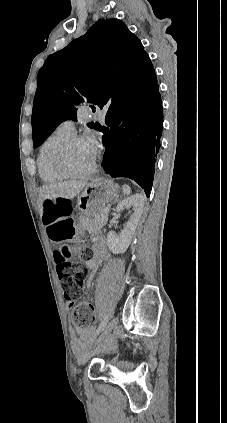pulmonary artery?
<instances>
[{"label": "pulmonary artery", "mask_w": 227, "mask_h": 423, "mask_svg": "<svg viewBox=\"0 0 227 423\" xmlns=\"http://www.w3.org/2000/svg\"><path fill=\"white\" fill-rule=\"evenodd\" d=\"M93 118V113L91 111H79L78 112V119L79 120H91ZM60 127L67 132L74 134L75 132V124L72 120H67L61 123Z\"/></svg>", "instance_id": "pulmonary-artery-1"}]
</instances>
